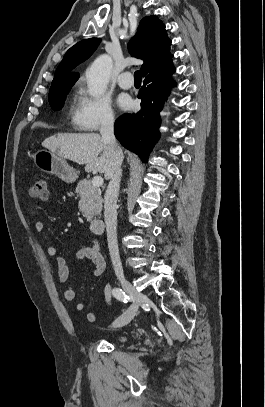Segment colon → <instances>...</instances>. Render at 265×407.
Returning <instances> with one entry per match:
<instances>
[{
  "label": "colon",
  "mask_w": 265,
  "mask_h": 407,
  "mask_svg": "<svg viewBox=\"0 0 265 407\" xmlns=\"http://www.w3.org/2000/svg\"><path fill=\"white\" fill-rule=\"evenodd\" d=\"M33 198L45 200L48 197L47 181L44 177H37L30 190Z\"/></svg>",
  "instance_id": "1"
}]
</instances>
